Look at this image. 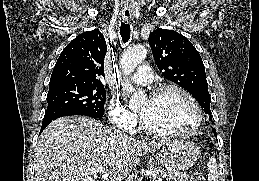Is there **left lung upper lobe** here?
<instances>
[{"instance_id":"5c2ea615","label":"left lung upper lobe","mask_w":259,"mask_h":181,"mask_svg":"<svg viewBox=\"0 0 259 181\" xmlns=\"http://www.w3.org/2000/svg\"><path fill=\"white\" fill-rule=\"evenodd\" d=\"M148 41L162 75L189 91L211 121L205 67L196 48L181 34L161 28L150 33ZM212 131L216 135L215 128Z\"/></svg>"}]
</instances>
